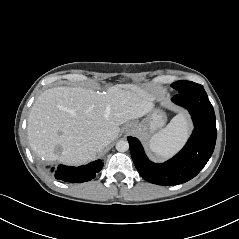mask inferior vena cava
I'll use <instances>...</instances> for the list:
<instances>
[{
	"mask_svg": "<svg viewBox=\"0 0 239 239\" xmlns=\"http://www.w3.org/2000/svg\"><path fill=\"white\" fill-rule=\"evenodd\" d=\"M109 143H110L109 139H107V138L101 139V141L99 143V149H103L104 147L108 146Z\"/></svg>",
	"mask_w": 239,
	"mask_h": 239,
	"instance_id": "1",
	"label": "inferior vena cava"
}]
</instances>
